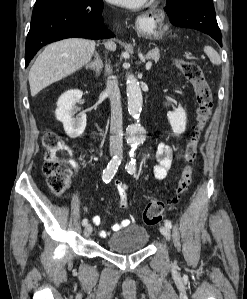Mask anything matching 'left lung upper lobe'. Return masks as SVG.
Returning <instances> with one entry per match:
<instances>
[{
  "label": "left lung upper lobe",
  "mask_w": 247,
  "mask_h": 299,
  "mask_svg": "<svg viewBox=\"0 0 247 299\" xmlns=\"http://www.w3.org/2000/svg\"><path fill=\"white\" fill-rule=\"evenodd\" d=\"M178 1L179 0H166V2H167L166 6L173 7ZM204 1L213 3L212 0H204Z\"/></svg>",
  "instance_id": "left-lung-upper-lobe-1"
}]
</instances>
